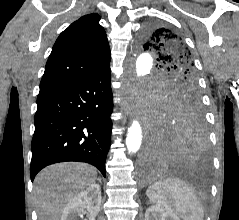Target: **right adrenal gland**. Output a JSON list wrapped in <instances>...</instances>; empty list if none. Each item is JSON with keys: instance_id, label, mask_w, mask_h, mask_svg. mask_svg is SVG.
Returning <instances> with one entry per match:
<instances>
[{"instance_id": "1", "label": "right adrenal gland", "mask_w": 239, "mask_h": 220, "mask_svg": "<svg viewBox=\"0 0 239 220\" xmlns=\"http://www.w3.org/2000/svg\"><path fill=\"white\" fill-rule=\"evenodd\" d=\"M97 180L99 181L100 184L102 183L100 178H98Z\"/></svg>"}]
</instances>
